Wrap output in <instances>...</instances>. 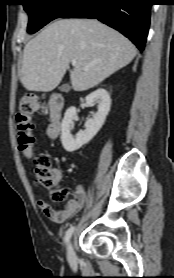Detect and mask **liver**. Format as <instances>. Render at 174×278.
Here are the masks:
<instances>
[{"instance_id": "6515ba94", "label": "liver", "mask_w": 174, "mask_h": 278, "mask_svg": "<svg viewBox=\"0 0 174 278\" xmlns=\"http://www.w3.org/2000/svg\"><path fill=\"white\" fill-rule=\"evenodd\" d=\"M135 55L126 37L95 19H59L25 45L20 82L28 91H52L75 60L72 88L85 91L128 65Z\"/></svg>"}]
</instances>
